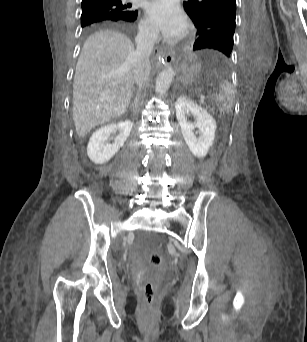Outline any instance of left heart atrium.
<instances>
[{
	"mask_svg": "<svg viewBox=\"0 0 307 342\" xmlns=\"http://www.w3.org/2000/svg\"><path fill=\"white\" fill-rule=\"evenodd\" d=\"M145 18L153 39L178 41L188 33V25L178 6L172 1H154L145 10Z\"/></svg>",
	"mask_w": 307,
	"mask_h": 342,
	"instance_id": "1",
	"label": "left heart atrium"
}]
</instances>
